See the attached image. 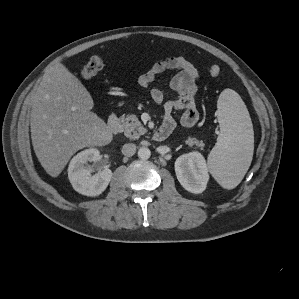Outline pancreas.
I'll use <instances>...</instances> for the list:
<instances>
[{"label":"pancreas","instance_id":"1","mask_svg":"<svg viewBox=\"0 0 299 299\" xmlns=\"http://www.w3.org/2000/svg\"><path fill=\"white\" fill-rule=\"evenodd\" d=\"M120 121L123 124L125 136L129 137L130 139H138L141 135H144L147 132L136 115L132 114L126 117L122 116ZM185 143L188 146H196L197 148L199 147L201 150L205 145L202 141H199L193 137H188Z\"/></svg>","mask_w":299,"mask_h":299}]
</instances>
